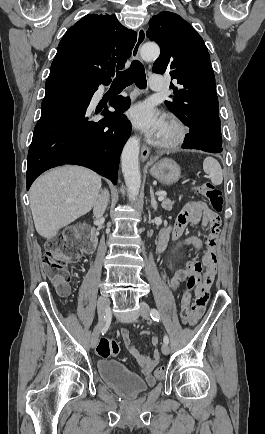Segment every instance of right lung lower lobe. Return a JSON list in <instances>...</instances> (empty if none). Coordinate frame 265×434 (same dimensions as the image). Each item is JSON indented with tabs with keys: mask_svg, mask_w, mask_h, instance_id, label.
<instances>
[{
	"mask_svg": "<svg viewBox=\"0 0 265 434\" xmlns=\"http://www.w3.org/2000/svg\"><path fill=\"white\" fill-rule=\"evenodd\" d=\"M111 79H95L71 74H50L28 152L27 190L44 171L64 165L88 167L117 182L121 150L131 134L125 116L117 113L130 105L129 98L109 101L116 112L100 102L93 110L91 98L100 84ZM103 115L98 119L96 116Z\"/></svg>",
	"mask_w": 265,
	"mask_h": 434,
	"instance_id": "right-lung-lower-lobe-1",
	"label": "right lung lower lobe"
}]
</instances>
